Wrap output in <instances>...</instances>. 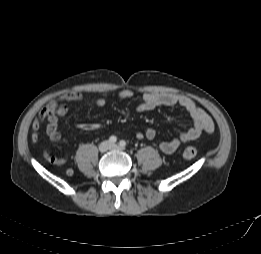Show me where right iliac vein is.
Segmentation results:
<instances>
[{
	"instance_id": "obj_1",
	"label": "right iliac vein",
	"mask_w": 261,
	"mask_h": 254,
	"mask_svg": "<svg viewBox=\"0 0 261 254\" xmlns=\"http://www.w3.org/2000/svg\"><path fill=\"white\" fill-rule=\"evenodd\" d=\"M111 144L108 141H103L100 145H99V150L101 152H106L110 149Z\"/></svg>"
}]
</instances>
